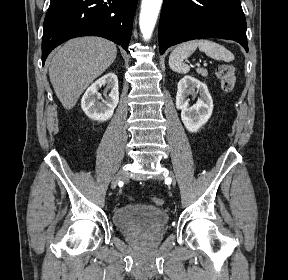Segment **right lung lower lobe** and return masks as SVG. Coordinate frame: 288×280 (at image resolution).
<instances>
[{
    "label": "right lung lower lobe",
    "instance_id": "98d812e1",
    "mask_svg": "<svg viewBox=\"0 0 288 280\" xmlns=\"http://www.w3.org/2000/svg\"><path fill=\"white\" fill-rule=\"evenodd\" d=\"M137 0H51L43 25L42 63L61 43L100 36L127 50Z\"/></svg>",
    "mask_w": 288,
    "mask_h": 280
}]
</instances>
